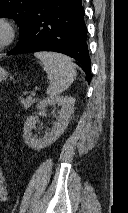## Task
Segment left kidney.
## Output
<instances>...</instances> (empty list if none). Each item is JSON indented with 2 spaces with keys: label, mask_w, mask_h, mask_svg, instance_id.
Here are the masks:
<instances>
[{
  "label": "left kidney",
  "mask_w": 128,
  "mask_h": 213,
  "mask_svg": "<svg viewBox=\"0 0 128 213\" xmlns=\"http://www.w3.org/2000/svg\"><path fill=\"white\" fill-rule=\"evenodd\" d=\"M74 104L75 98L68 96L48 97L41 100L37 104L38 110H45L48 105H58L61 107L58 111V120L53 122V128L50 132H47L41 138H35L32 135V130L36 125V117H28L23 128L25 143L34 150H41L55 142L67 128L69 118L74 111Z\"/></svg>",
  "instance_id": "1"
}]
</instances>
